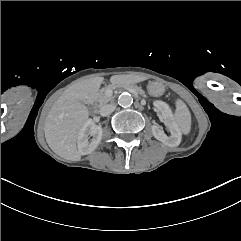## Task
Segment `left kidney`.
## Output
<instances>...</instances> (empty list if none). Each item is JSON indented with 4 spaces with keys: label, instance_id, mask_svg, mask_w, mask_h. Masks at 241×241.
<instances>
[{
    "label": "left kidney",
    "instance_id": "1",
    "mask_svg": "<svg viewBox=\"0 0 241 241\" xmlns=\"http://www.w3.org/2000/svg\"><path fill=\"white\" fill-rule=\"evenodd\" d=\"M153 105L161 111L160 120L164 122L171 135L167 136L159 125H152L153 136L169 147H176L181 143L182 134L177 124L175 123L172 111L168 104L156 100Z\"/></svg>",
    "mask_w": 241,
    "mask_h": 241
}]
</instances>
